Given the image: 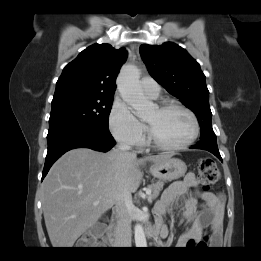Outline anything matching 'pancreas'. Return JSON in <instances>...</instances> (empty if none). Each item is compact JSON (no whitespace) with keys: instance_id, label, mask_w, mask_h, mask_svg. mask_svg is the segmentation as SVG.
I'll return each mask as SVG.
<instances>
[{"instance_id":"cf45deb5","label":"pancreas","mask_w":261,"mask_h":261,"mask_svg":"<svg viewBox=\"0 0 261 261\" xmlns=\"http://www.w3.org/2000/svg\"><path fill=\"white\" fill-rule=\"evenodd\" d=\"M163 186H164L163 182L152 183L149 186V189L151 190V198L152 199H155V198L158 197L160 191H162V189H163Z\"/></svg>"}]
</instances>
